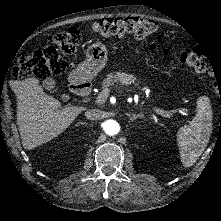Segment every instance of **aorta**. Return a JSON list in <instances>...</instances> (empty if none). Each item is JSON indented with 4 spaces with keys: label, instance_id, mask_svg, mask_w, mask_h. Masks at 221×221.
<instances>
[{
    "label": "aorta",
    "instance_id": "aorta-1",
    "mask_svg": "<svg viewBox=\"0 0 221 221\" xmlns=\"http://www.w3.org/2000/svg\"><path fill=\"white\" fill-rule=\"evenodd\" d=\"M102 126L104 132L109 136L116 135L120 130V125L115 120H107L103 122Z\"/></svg>",
    "mask_w": 221,
    "mask_h": 221
}]
</instances>
